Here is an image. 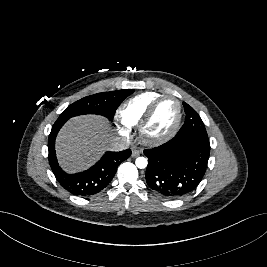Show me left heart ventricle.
<instances>
[{
  "label": "left heart ventricle",
  "instance_id": "left-heart-ventricle-1",
  "mask_svg": "<svg viewBox=\"0 0 267 267\" xmlns=\"http://www.w3.org/2000/svg\"><path fill=\"white\" fill-rule=\"evenodd\" d=\"M178 107L173 99L163 100L156 108L146 128L150 137H161L167 134L177 120Z\"/></svg>",
  "mask_w": 267,
  "mask_h": 267
}]
</instances>
